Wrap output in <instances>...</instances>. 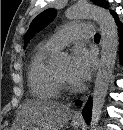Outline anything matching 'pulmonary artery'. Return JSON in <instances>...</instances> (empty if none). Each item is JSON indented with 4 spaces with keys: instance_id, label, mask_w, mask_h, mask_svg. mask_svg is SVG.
<instances>
[{
    "instance_id": "1",
    "label": "pulmonary artery",
    "mask_w": 123,
    "mask_h": 130,
    "mask_svg": "<svg viewBox=\"0 0 123 130\" xmlns=\"http://www.w3.org/2000/svg\"><path fill=\"white\" fill-rule=\"evenodd\" d=\"M92 35L93 31L90 24H70L53 34L46 43L59 50L69 43L81 38H90Z\"/></svg>"
}]
</instances>
